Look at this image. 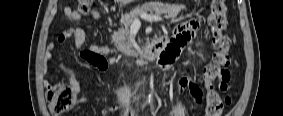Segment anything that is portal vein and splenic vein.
Here are the masks:
<instances>
[{
    "label": "portal vein and splenic vein",
    "instance_id": "18ae733b",
    "mask_svg": "<svg viewBox=\"0 0 283 116\" xmlns=\"http://www.w3.org/2000/svg\"><path fill=\"white\" fill-rule=\"evenodd\" d=\"M140 18L146 20V21H149V22H158V21H162L163 18L160 17V16H156V15H149L147 13H143V14H140L139 16ZM138 19V18H137Z\"/></svg>",
    "mask_w": 283,
    "mask_h": 116
}]
</instances>
